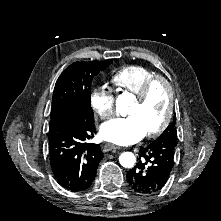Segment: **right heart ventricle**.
Instances as JSON below:
<instances>
[{
	"label": "right heart ventricle",
	"mask_w": 221,
	"mask_h": 221,
	"mask_svg": "<svg viewBox=\"0 0 221 221\" xmlns=\"http://www.w3.org/2000/svg\"><path fill=\"white\" fill-rule=\"evenodd\" d=\"M158 75L148 67L128 65L115 71L109 81L117 92L137 95L147 80Z\"/></svg>",
	"instance_id": "obj_1"
}]
</instances>
